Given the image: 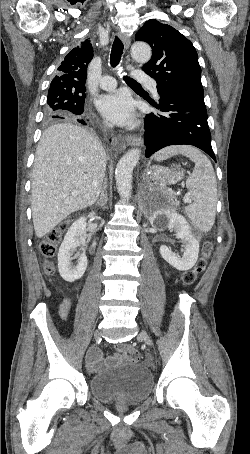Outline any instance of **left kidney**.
<instances>
[{
    "label": "left kidney",
    "instance_id": "5707ae66",
    "mask_svg": "<svg viewBox=\"0 0 250 454\" xmlns=\"http://www.w3.org/2000/svg\"><path fill=\"white\" fill-rule=\"evenodd\" d=\"M159 215H164L167 219V227L177 233V237L181 239L184 246V253L179 256L172 252L165 245L160 246L161 256L174 268L180 271L191 269L198 259L199 240L198 237L191 231L190 225L186 219L172 209H165L154 214L151 221Z\"/></svg>",
    "mask_w": 250,
    "mask_h": 454
}]
</instances>
